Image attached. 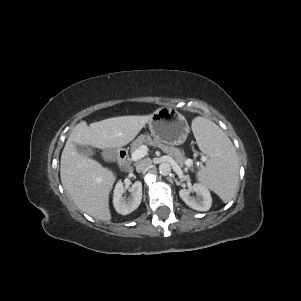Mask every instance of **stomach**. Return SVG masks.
<instances>
[{"mask_svg": "<svg viewBox=\"0 0 301 301\" xmlns=\"http://www.w3.org/2000/svg\"><path fill=\"white\" fill-rule=\"evenodd\" d=\"M151 135L167 145L183 144L190 132L185 117L171 108H159L148 122Z\"/></svg>", "mask_w": 301, "mask_h": 301, "instance_id": "0dacf381", "label": "stomach"}]
</instances>
